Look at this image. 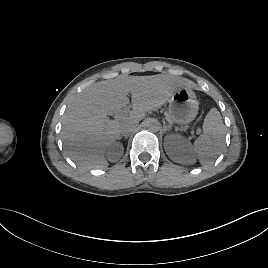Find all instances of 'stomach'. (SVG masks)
I'll return each instance as SVG.
<instances>
[{"label": "stomach", "instance_id": "obj_1", "mask_svg": "<svg viewBox=\"0 0 268 268\" xmlns=\"http://www.w3.org/2000/svg\"><path fill=\"white\" fill-rule=\"evenodd\" d=\"M199 103L195 93L188 87H181L169 101L168 118L171 122L186 125L198 114Z\"/></svg>", "mask_w": 268, "mask_h": 268}]
</instances>
